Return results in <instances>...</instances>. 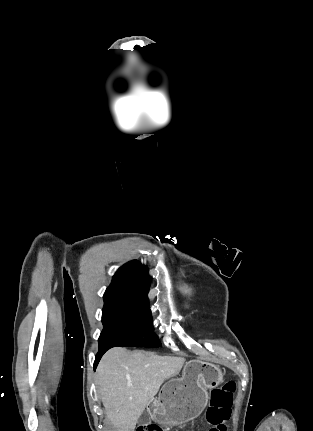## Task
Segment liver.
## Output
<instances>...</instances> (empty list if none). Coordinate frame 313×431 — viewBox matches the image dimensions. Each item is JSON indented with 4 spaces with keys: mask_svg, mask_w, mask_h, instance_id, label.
Segmentation results:
<instances>
[{
    "mask_svg": "<svg viewBox=\"0 0 313 431\" xmlns=\"http://www.w3.org/2000/svg\"><path fill=\"white\" fill-rule=\"evenodd\" d=\"M185 359L112 348L97 368L98 391L106 416L118 431H134L139 417L163 382L177 375Z\"/></svg>",
    "mask_w": 313,
    "mask_h": 431,
    "instance_id": "1",
    "label": "liver"
}]
</instances>
